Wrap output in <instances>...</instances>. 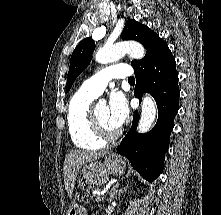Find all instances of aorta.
<instances>
[{"label": "aorta", "mask_w": 221, "mask_h": 215, "mask_svg": "<svg viewBox=\"0 0 221 215\" xmlns=\"http://www.w3.org/2000/svg\"><path fill=\"white\" fill-rule=\"evenodd\" d=\"M129 54L134 59H142L145 56L144 47L137 42H121L112 46L100 49L95 56V60L100 64H107L119 60L125 54ZM156 118V105L150 95H145L142 99V111L138 124V132H147Z\"/></svg>", "instance_id": "obj_1"}]
</instances>
